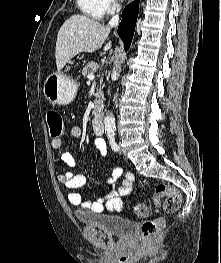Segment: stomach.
<instances>
[{
	"label": "stomach",
	"instance_id": "0dacf381",
	"mask_svg": "<svg viewBox=\"0 0 221 263\" xmlns=\"http://www.w3.org/2000/svg\"><path fill=\"white\" fill-rule=\"evenodd\" d=\"M78 83L60 72L50 74L43 87L47 100L52 104L67 105L71 103L78 91Z\"/></svg>",
	"mask_w": 221,
	"mask_h": 263
}]
</instances>
